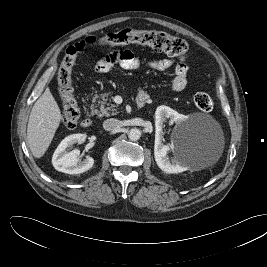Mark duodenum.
Listing matches in <instances>:
<instances>
[{"label": "duodenum", "instance_id": "410a0bca", "mask_svg": "<svg viewBox=\"0 0 267 267\" xmlns=\"http://www.w3.org/2000/svg\"><path fill=\"white\" fill-rule=\"evenodd\" d=\"M148 100V95L145 94H141L139 96H137V106L139 108H142L146 105ZM92 124V119L91 117H85L82 121H81V125L83 127H89Z\"/></svg>", "mask_w": 267, "mask_h": 267}]
</instances>
